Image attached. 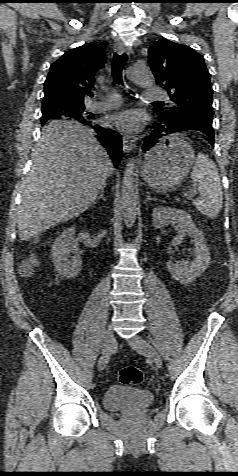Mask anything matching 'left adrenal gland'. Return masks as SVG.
<instances>
[{
    "label": "left adrenal gland",
    "mask_w": 238,
    "mask_h": 476,
    "mask_svg": "<svg viewBox=\"0 0 238 476\" xmlns=\"http://www.w3.org/2000/svg\"><path fill=\"white\" fill-rule=\"evenodd\" d=\"M150 200H157V199H156V198H152V197L150 196V192H146V199H145L144 203L146 204V203H147L148 201H150Z\"/></svg>",
    "instance_id": "left-adrenal-gland-1"
}]
</instances>
